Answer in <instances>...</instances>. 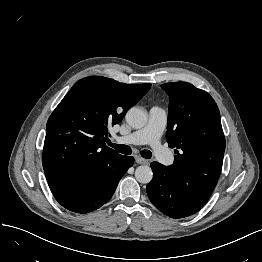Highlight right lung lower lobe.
Returning <instances> with one entry per match:
<instances>
[{"label":"right lung lower lobe","mask_w":262,"mask_h":262,"mask_svg":"<svg viewBox=\"0 0 262 262\" xmlns=\"http://www.w3.org/2000/svg\"><path fill=\"white\" fill-rule=\"evenodd\" d=\"M134 158L121 156L100 179L68 183H49L55 199L66 209L88 213L100 208L112 197L121 177L133 165Z\"/></svg>","instance_id":"1"}]
</instances>
